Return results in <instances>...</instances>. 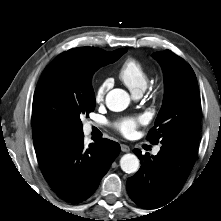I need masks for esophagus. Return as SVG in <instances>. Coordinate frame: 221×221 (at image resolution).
<instances>
[{"label": "esophagus", "instance_id": "esophagus-1", "mask_svg": "<svg viewBox=\"0 0 221 221\" xmlns=\"http://www.w3.org/2000/svg\"><path fill=\"white\" fill-rule=\"evenodd\" d=\"M121 150L123 152H129L130 151V147L128 145L121 144Z\"/></svg>", "mask_w": 221, "mask_h": 221}]
</instances>
